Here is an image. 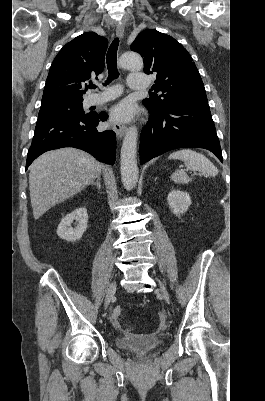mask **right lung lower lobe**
<instances>
[{"label":"right lung lower lobe","instance_id":"right-lung-lower-lobe-1","mask_svg":"<svg viewBox=\"0 0 265 401\" xmlns=\"http://www.w3.org/2000/svg\"><path fill=\"white\" fill-rule=\"evenodd\" d=\"M107 117L105 112H91L81 116L51 115L38 119L28 150L26 169L44 152L62 147L79 148L101 162L114 164L115 132L100 131L96 128L99 121H105Z\"/></svg>","mask_w":265,"mask_h":401}]
</instances>
